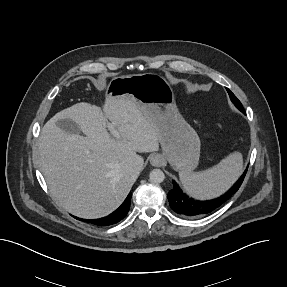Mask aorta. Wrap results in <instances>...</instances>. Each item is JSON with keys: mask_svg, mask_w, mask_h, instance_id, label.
Returning a JSON list of instances; mask_svg holds the SVG:
<instances>
[{"mask_svg": "<svg viewBox=\"0 0 287 287\" xmlns=\"http://www.w3.org/2000/svg\"><path fill=\"white\" fill-rule=\"evenodd\" d=\"M149 179L152 183H162L165 179V174L160 169H153L149 174Z\"/></svg>", "mask_w": 287, "mask_h": 287, "instance_id": "1", "label": "aorta"}]
</instances>
